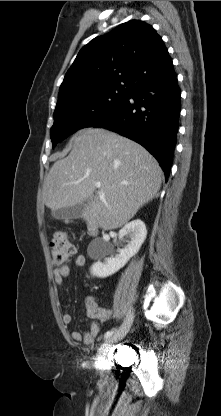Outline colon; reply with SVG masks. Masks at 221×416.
Here are the masks:
<instances>
[{"label": "colon", "mask_w": 221, "mask_h": 416, "mask_svg": "<svg viewBox=\"0 0 221 416\" xmlns=\"http://www.w3.org/2000/svg\"><path fill=\"white\" fill-rule=\"evenodd\" d=\"M52 261L56 265H61L69 260L74 254V247L68 237L63 233L54 234L50 241Z\"/></svg>", "instance_id": "5ec220e1"}]
</instances>
